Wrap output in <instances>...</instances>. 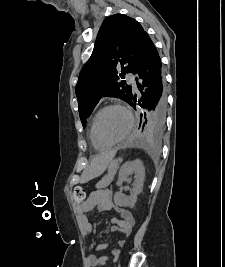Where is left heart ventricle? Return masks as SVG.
<instances>
[{
    "instance_id": "left-heart-ventricle-1",
    "label": "left heart ventricle",
    "mask_w": 225,
    "mask_h": 267,
    "mask_svg": "<svg viewBox=\"0 0 225 267\" xmlns=\"http://www.w3.org/2000/svg\"><path fill=\"white\" fill-rule=\"evenodd\" d=\"M128 124V117L123 110L111 109L100 120V136L108 142L118 140L125 134Z\"/></svg>"
}]
</instances>
